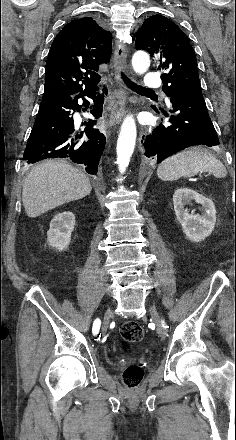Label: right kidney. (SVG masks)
<instances>
[{
	"label": "right kidney",
	"instance_id": "right-kidney-1",
	"mask_svg": "<svg viewBox=\"0 0 236 440\" xmlns=\"http://www.w3.org/2000/svg\"><path fill=\"white\" fill-rule=\"evenodd\" d=\"M75 227V216L70 211L56 214L50 222V229L47 232L48 244L62 251L68 247L71 241V234Z\"/></svg>",
	"mask_w": 236,
	"mask_h": 440
}]
</instances>
